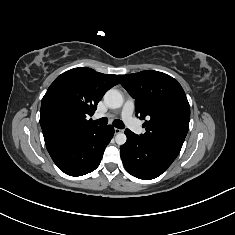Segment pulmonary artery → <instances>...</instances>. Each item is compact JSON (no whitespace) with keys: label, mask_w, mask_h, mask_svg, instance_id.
I'll return each mask as SVG.
<instances>
[{"label":"pulmonary artery","mask_w":235,"mask_h":235,"mask_svg":"<svg viewBox=\"0 0 235 235\" xmlns=\"http://www.w3.org/2000/svg\"><path fill=\"white\" fill-rule=\"evenodd\" d=\"M134 101L133 99H127L121 108V116L127 126L136 134H140L142 132V127L137 119L133 117L134 112ZM103 115L96 114V118H100Z\"/></svg>","instance_id":"1"}]
</instances>
